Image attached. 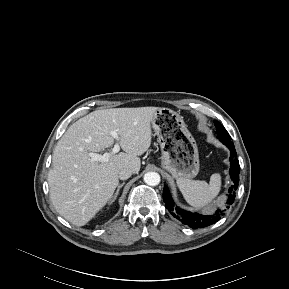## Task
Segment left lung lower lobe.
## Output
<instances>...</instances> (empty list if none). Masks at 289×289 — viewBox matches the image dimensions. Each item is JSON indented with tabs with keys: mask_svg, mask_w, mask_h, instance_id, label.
<instances>
[{
	"mask_svg": "<svg viewBox=\"0 0 289 289\" xmlns=\"http://www.w3.org/2000/svg\"><path fill=\"white\" fill-rule=\"evenodd\" d=\"M230 150V176L233 180V185L229 188V194L226 201V208L234 202L235 199V191L238 187L239 182V173L240 166L239 161L236 158V150L234 148L233 142L231 140L222 141ZM163 201L165 202V207L168 211L178 220H180L183 224L188 225L189 227L203 228L206 226H210L220 220L223 215L224 210H217L213 215H201L199 213H191L189 211L183 210L174 205V202L171 198L169 189L167 186H164L163 190Z\"/></svg>",
	"mask_w": 289,
	"mask_h": 289,
	"instance_id": "0a47b994",
	"label": "left lung lower lobe"
}]
</instances>
